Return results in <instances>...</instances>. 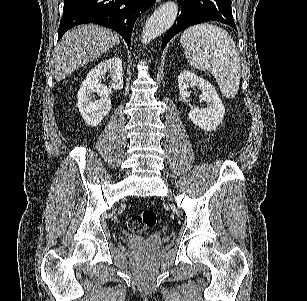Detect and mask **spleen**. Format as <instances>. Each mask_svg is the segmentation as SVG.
Returning <instances> with one entry per match:
<instances>
[{
    "label": "spleen",
    "instance_id": "spleen-1",
    "mask_svg": "<svg viewBox=\"0 0 307 301\" xmlns=\"http://www.w3.org/2000/svg\"><path fill=\"white\" fill-rule=\"evenodd\" d=\"M185 56L197 70L213 74L225 98L236 96L241 78V66L236 44L227 30L202 22L189 26L180 36Z\"/></svg>",
    "mask_w": 307,
    "mask_h": 301
}]
</instances>
